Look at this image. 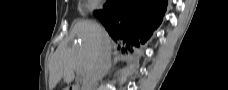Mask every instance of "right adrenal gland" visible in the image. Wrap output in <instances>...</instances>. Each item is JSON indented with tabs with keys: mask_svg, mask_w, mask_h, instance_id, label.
Wrapping results in <instances>:
<instances>
[{
	"mask_svg": "<svg viewBox=\"0 0 228 90\" xmlns=\"http://www.w3.org/2000/svg\"><path fill=\"white\" fill-rule=\"evenodd\" d=\"M111 66H112V62L110 63V67H109V69H108V72H109V70H110Z\"/></svg>",
	"mask_w": 228,
	"mask_h": 90,
	"instance_id": "right-adrenal-gland-1",
	"label": "right adrenal gland"
}]
</instances>
